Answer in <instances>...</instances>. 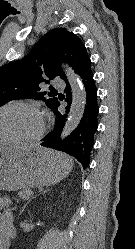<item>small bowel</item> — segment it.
Wrapping results in <instances>:
<instances>
[{"mask_svg": "<svg viewBox=\"0 0 135 249\" xmlns=\"http://www.w3.org/2000/svg\"><path fill=\"white\" fill-rule=\"evenodd\" d=\"M6 200L0 197V209L4 208ZM16 236L13 225V215L9 210L0 213V249L9 245L11 239Z\"/></svg>", "mask_w": 135, "mask_h": 249, "instance_id": "1", "label": "small bowel"}]
</instances>
